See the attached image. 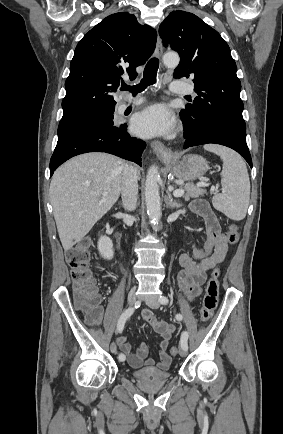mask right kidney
<instances>
[{
    "mask_svg": "<svg viewBox=\"0 0 283 434\" xmlns=\"http://www.w3.org/2000/svg\"><path fill=\"white\" fill-rule=\"evenodd\" d=\"M100 255L107 260H111L114 255L112 240L107 236H102L98 241Z\"/></svg>",
    "mask_w": 283,
    "mask_h": 434,
    "instance_id": "1",
    "label": "right kidney"
}]
</instances>
